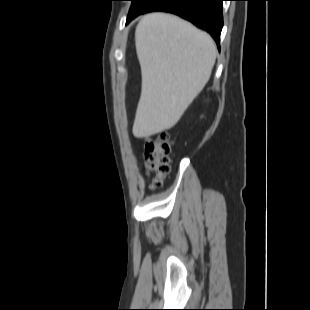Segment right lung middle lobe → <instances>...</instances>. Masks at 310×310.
Here are the masks:
<instances>
[{"label": "right lung middle lobe", "instance_id": "obj_1", "mask_svg": "<svg viewBox=\"0 0 310 310\" xmlns=\"http://www.w3.org/2000/svg\"><path fill=\"white\" fill-rule=\"evenodd\" d=\"M131 1H132V5H131L128 16L141 12L142 10L150 7L152 4H154L158 0H131Z\"/></svg>", "mask_w": 310, "mask_h": 310}]
</instances>
